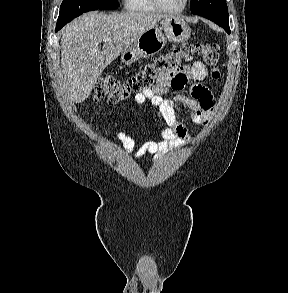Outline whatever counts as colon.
<instances>
[{
	"label": "colon",
	"mask_w": 288,
	"mask_h": 293,
	"mask_svg": "<svg viewBox=\"0 0 288 293\" xmlns=\"http://www.w3.org/2000/svg\"><path fill=\"white\" fill-rule=\"evenodd\" d=\"M198 54L211 69L214 81L220 78V48L216 43H197L171 50L147 63L140 71L121 82L111 75L100 77L93 90L96 101L106 100L109 104H117L127 100L133 94L152 88L157 78L176 70L182 63Z\"/></svg>",
	"instance_id": "obj_1"
}]
</instances>
